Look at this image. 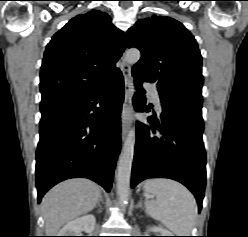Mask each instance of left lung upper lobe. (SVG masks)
<instances>
[{"label": "left lung upper lobe", "mask_w": 248, "mask_h": 237, "mask_svg": "<svg viewBox=\"0 0 248 237\" xmlns=\"http://www.w3.org/2000/svg\"><path fill=\"white\" fill-rule=\"evenodd\" d=\"M127 46L142 53L132 68L134 79L156 83L161 101H203L202 57L182 23L156 15L140 19L128 30Z\"/></svg>", "instance_id": "5c2ea615"}]
</instances>
